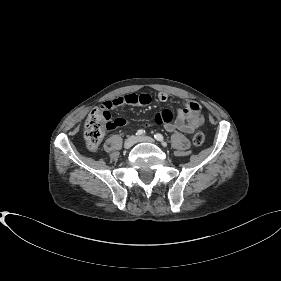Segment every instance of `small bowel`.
Instances as JSON below:
<instances>
[{
  "instance_id": "c3829d8e",
  "label": "small bowel",
  "mask_w": 281,
  "mask_h": 281,
  "mask_svg": "<svg viewBox=\"0 0 281 281\" xmlns=\"http://www.w3.org/2000/svg\"><path fill=\"white\" fill-rule=\"evenodd\" d=\"M168 99L169 96L165 92H159L157 95V100L161 103H166ZM151 101L152 96L147 93L128 94L103 102L100 105V109L110 111L122 105L147 106ZM202 121L200 107L193 101H186L175 119L173 118L172 111L169 109L159 111L154 117L155 124L164 126L167 131H181L187 134H191L199 128L202 125ZM116 124L117 127H122L127 124V121L123 118H117Z\"/></svg>"
}]
</instances>
